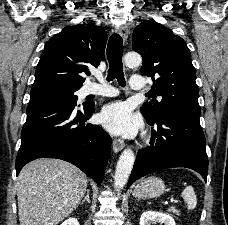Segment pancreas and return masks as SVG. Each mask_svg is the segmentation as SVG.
Segmentation results:
<instances>
[{
    "label": "pancreas",
    "mask_w": 228,
    "mask_h": 225,
    "mask_svg": "<svg viewBox=\"0 0 228 225\" xmlns=\"http://www.w3.org/2000/svg\"><path fill=\"white\" fill-rule=\"evenodd\" d=\"M169 213H173V215H180V211H178V209H175V207H170Z\"/></svg>",
    "instance_id": "1"
}]
</instances>
